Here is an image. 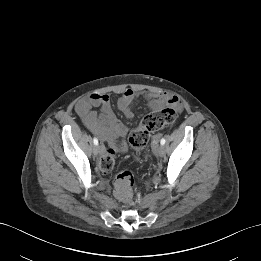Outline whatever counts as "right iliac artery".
<instances>
[{
  "label": "right iliac artery",
  "mask_w": 261,
  "mask_h": 261,
  "mask_svg": "<svg viewBox=\"0 0 261 261\" xmlns=\"http://www.w3.org/2000/svg\"><path fill=\"white\" fill-rule=\"evenodd\" d=\"M93 143H94V145H98V139H97V138H94V139H93Z\"/></svg>",
  "instance_id": "obj_1"
}]
</instances>
